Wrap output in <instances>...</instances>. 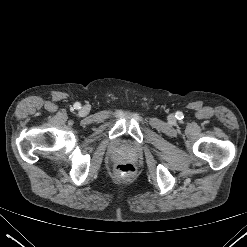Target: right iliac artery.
Returning <instances> with one entry per match:
<instances>
[{"mask_svg":"<svg viewBox=\"0 0 247 247\" xmlns=\"http://www.w3.org/2000/svg\"><path fill=\"white\" fill-rule=\"evenodd\" d=\"M74 108H75V109H80V108H81L80 103H78V102H77V103H75V104H74Z\"/></svg>","mask_w":247,"mask_h":247,"instance_id":"right-iliac-artery-1","label":"right iliac artery"}]
</instances>
